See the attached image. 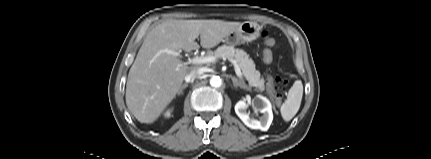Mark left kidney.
Returning <instances> with one entry per match:
<instances>
[{"instance_id": "obj_1", "label": "left kidney", "mask_w": 431, "mask_h": 159, "mask_svg": "<svg viewBox=\"0 0 431 159\" xmlns=\"http://www.w3.org/2000/svg\"><path fill=\"white\" fill-rule=\"evenodd\" d=\"M250 103L257 112L263 114L259 120L250 117L247 112L248 104L245 100H240L236 103V114L247 127L267 131L273 120L272 105L270 101L266 97L257 95Z\"/></svg>"}]
</instances>
